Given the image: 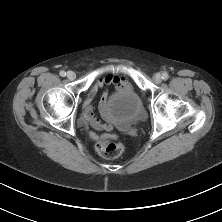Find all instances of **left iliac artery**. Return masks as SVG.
Here are the masks:
<instances>
[{"instance_id": "obj_1", "label": "left iliac artery", "mask_w": 222, "mask_h": 222, "mask_svg": "<svg viewBox=\"0 0 222 222\" xmlns=\"http://www.w3.org/2000/svg\"><path fill=\"white\" fill-rule=\"evenodd\" d=\"M168 77H169V75H168L167 72H164V73L162 74V79L166 80V79H168Z\"/></svg>"}]
</instances>
